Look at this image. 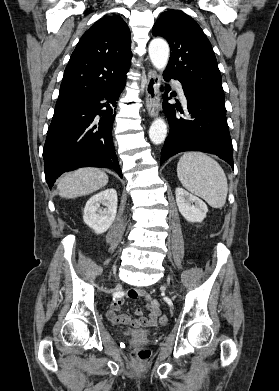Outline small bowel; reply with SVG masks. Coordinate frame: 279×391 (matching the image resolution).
<instances>
[{
    "label": "small bowel",
    "mask_w": 279,
    "mask_h": 391,
    "mask_svg": "<svg viewBox=\"0 0 279 391\" xmlns=\"http://www.w3.org/2000/svg\"><path fill=\"white\" fill-rule=\"evenodd\" d=\"M125 296L130 299L141 298L145 300L147 302L149 315L144 317L140 309L135 311V317L118 314L124 303V297L119 296L112 302L109 310L107 311V317L113 324L131 325L137 328L153 327L157 324L158 317L160 316V307L158 302L152 299V297L147 292L140 289H130L125 293Z\"/></svg>",
    "instance_id": "1"
}]
</instances>
